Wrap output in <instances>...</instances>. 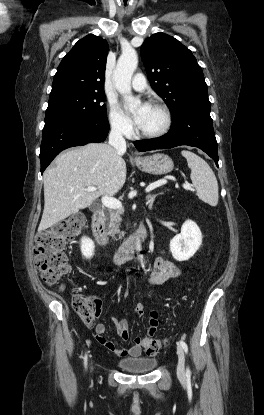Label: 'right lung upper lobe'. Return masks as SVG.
Returning <instances> with one entry per match:
<instances>
[{"label": "right lung upper lobe", "mask_w": 264, "mask_h": 415, "mask_svg": "<svg viewBox=\"0 0 264 415\" xmlns=\"http://www.w3.org/2000/svg\"><path fill=\"white\" fill-rule=\"evenodd\" d=\"M107 51V41L93 34L79 40L61 61L50 96L68 91L104 92Z\"/></svg>", "instance_id": "right-lung-upper-lobe-1"}]
</instances>
